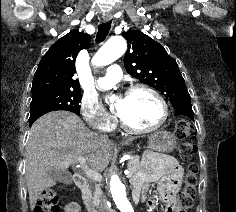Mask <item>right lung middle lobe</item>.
Masks as SVG:
<instances>
[{
	"instance_id": "1",
	"label": "right lung middle lobe",
	"mask_w": 236,
	"mask_h": 212,
	"mask_svg": "<svg viewBox=\"0 0 236 212\" xmlns=\"http://www.w3.org/2000/svg\"><path fill=\"white\" fill-rule=\"evenodd\" d=\"M80 90H51L32 94L29 120L56 110H66L79 114Z\"/></svg>"
}]
</instances>
